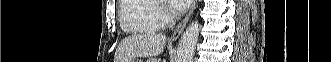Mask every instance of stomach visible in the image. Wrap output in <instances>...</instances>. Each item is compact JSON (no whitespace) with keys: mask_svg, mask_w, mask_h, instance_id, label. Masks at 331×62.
Instances as JSON below:
<instances>
[{"mask_svg":"<svg viewBox=\"0 0 331 62\" xmlns=\"http://www.w3.org/2000/svg\"><path fill=\"white\" fill-rule=\"evenodd\" d=\"M130 62H142L140 59H133V60H131Z\"/></svg>","mask_w":331,"mask_h":62,"instance_id":"stomach-1","label":"stomach"}]
</instances>
